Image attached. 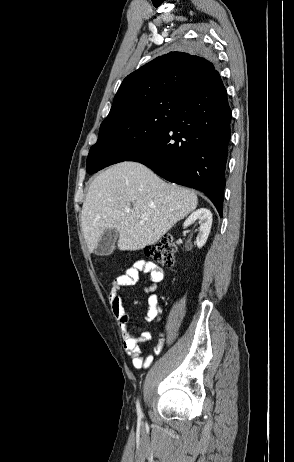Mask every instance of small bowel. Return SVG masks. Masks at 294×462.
<instances>
[{
	"instance_id": "obj_1",
	"label": "small bowel",
	"mask_w": 294,
	"mask_h": 462,
	"mask_svg": "<svg viewBox=\"0 0 294 462\" xmlns=\"http://www.w3.org/2000/svg\"><path fill=\"white\" fill-rule=\"evenodd\" d=\"M141 273L149 276V283L144 288V292L148 295V309L145 314V321H159L162 308L159 304L156 290L158 283L164 278V272L155 263L143 259L137 260L124 274L113 280L109 292V302L122 331L124 350L136 369L148 368L153 361V354H159L164 345L163 334L159 332V339L153 348V354L143 356L140 345L151 339V333L144 331L136 334L128 328L129 315L124 307L120 291L124 287L135 285ZM136 304H139V302H136Z\"/></svg>"
}]
</instances>
